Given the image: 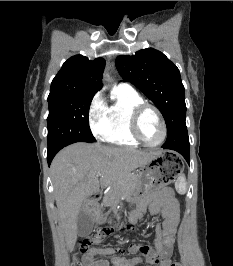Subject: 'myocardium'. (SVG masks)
Masks as SVG:
<instances>
[{
    "label": "myocardium",
    "instance_id": "myocardium-1",
    "mask_svg": "<svg viewBox=\"0 0 233 266\" xmlns=\"http://www.w3.org/2000/svg\"><path fill=\"white\" fill-rule=\"evenodd\" d=\"M148 109L153 110L156 113L162 126V137L157 143L154 144L146 142L140 133V119L142 114ZM130 131L133 138L139 144H142L149 148L161 146L165 142L167 137V125L161 111L155 105L147 102L140 103L132 108L130 113Z\"/></svg>",
    "mask_w": 233,
    "mask_h": 266
}]
</instances>
